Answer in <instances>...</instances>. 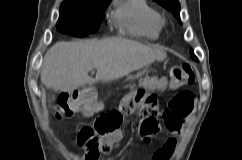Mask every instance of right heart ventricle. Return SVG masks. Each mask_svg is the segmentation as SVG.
<instances>
[{
	"mask_svg": "<svg viewBox=\"0 0 242 160\" xmlns=\"http://www.w3.org/2000/svg\"><path fill=\"white\" fill-rule=\"evenodd\" d=\"M112 22L125 34L156 40L163 30L160 13L147 0H119Z\"/></svg>",
	"mask_w": 242,
	"mask_h": 160,
	"instance_id": "e07e8e85",
	"label": "right heart ventricle"
}]
</instances>
